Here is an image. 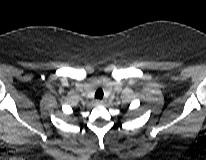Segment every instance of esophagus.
Instances as JSON below:
<instances>
[{
	"instance_id": "1",
	"label": "esophagus",
	"mask_w": 206,
	"mask_h": 160,
	"mask_svg": "<svg viewBox=\"0 0 206 160\" xmlns=\"http://www.w3.org/2000/svg\"><path fill=\"white\" fill-rule=\"evenodd\" d=\"M96 104H103L104 103V100L103 99H97L95 101Z\"/></svg>"
}]
</instances>
